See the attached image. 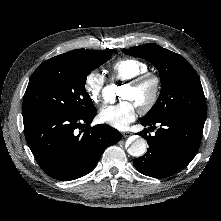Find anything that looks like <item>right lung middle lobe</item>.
<instances>
[{"label":"right lung middle lobe","mask_w":221,"mask_h":221,"mask_svg":"<svg viewBox=\"0 0 221 221\" xmlns=\"http://www.w3.org/2000/svg\"><path fill=\"white\" fill-rule=\"evenodd\" d=\"M113 49L91 51L73 59L53 57L33 73L23 98L22 113L82 116L95 106L85 90L91 71L104 64Z\"/></svg>","instance_id":"obj_1"}]
</instances>
